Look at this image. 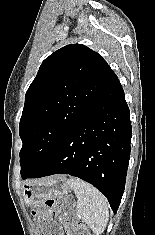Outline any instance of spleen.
Here are the masks:
<instances>
[{
    "label": "spleen",
    "mask_w": 155,
    "mask_h": 235,
    "mask_svg": "<svg viewBox=\"0 0 155 235\" xmlns=\"http://www.w3.org/2000/svg\"><path fill=\"white\" fill-rule=\"evenodd\" d=\"M68 185L77 197L78 218L82 219L95 235L102 234L109 218V203L105 196L79 178H70Z\"/></svg>",
    "instance_id": "3e777b00"
}]
</instances>
